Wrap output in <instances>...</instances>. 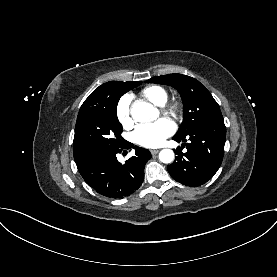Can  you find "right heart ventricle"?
<instances>
[{
  "label": "right heart ventricle",
  "instance_id": "e07e8e85",
  "mask_svg": "<svg viewBox=\"0 0 277 277\" xmlns=\"http://www.w3.org/2000/svg\"><path fill=\"white\" fill-rule=\"evenodd\" d=\"M140 96L155 106H162L167 102L168 93L159 85H151L140 91Z\"/></svg>",
  "mask_w": 277,
  "mask_h": 277
}]
</instances>
